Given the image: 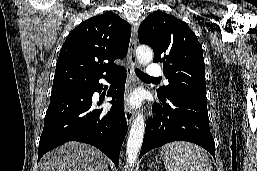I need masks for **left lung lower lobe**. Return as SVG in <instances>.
Listing matches in <instances>:
<instances>
[{
  "label": "left lung lower lobe",
  "instance_id": "left-lung-lower-lobe-1",
  "mask_svg": "<svg viewBox=\"0 0 257 171\" xmlns=\"http://www.w3.org/2000/svg\"><path fill=\"white\" fill-rule=\"evenodd\" d=\"M154 106L156 117L150 118L146 124L139 159L149 150L172 141H189L198 144L215 158V144L209 128L207 101L174 95L159 97V103Z\"/></svg>",
  "mask_w": 257,
  "mask_h": 171
}]
</instances>
